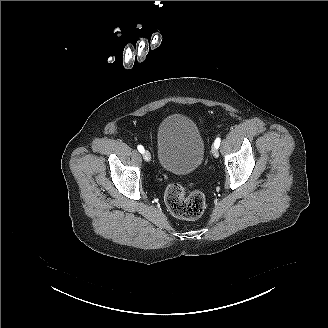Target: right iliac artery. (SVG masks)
I'll return each mask as SVG.
<instances>
[{"label":"right iliac artery","mask_w":328,"mask_h":328,"mask_svg":"<svg viewBox=\"0 0 328 328\" xmlns=\"http://www.w3.org/2000/svg\"><path fill=\"white\" fill-rule=\"evenodd\" d=\"M137 149L139 150L140 153L144 152V147L142 145H138Z\"/></svg>","instance_id":"1"}]
</instances>
